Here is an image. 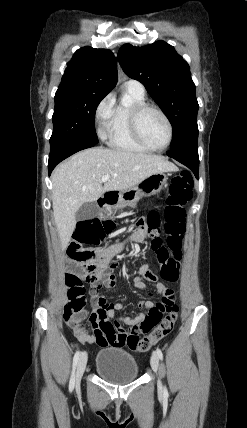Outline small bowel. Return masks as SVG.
Masks as SVG:
<instances>
[{"instance_id":"1","label":"small bowel","mask_w":247,"mask_h":428,"mask_svg":"<svg viewBox=\"0 0 247 428\" xmlns=\"http://www.w3.org/2000/svg\"><path fill=\"white\" fill-rule=\"evenodd\" d=\"M146 238V231L141 228L136 230L126 242L118 243L110 248L96 251L97 259L101 267L105 271V278L100 286H91L90 295L93 300V304H101L107 308L108 317L112 318L114 321L120 322L122 324L135 327L134 323L138 321V319L149 318V313L147 308L143 305L144 311L141 312L136 317L129 316H118L116 313L123 309L122 303H112L109 302L104 294L100 293L102 287H106L109 291L115 292L117 290L115 275L113 273L116 268V263L112 262V258L120 253L127 242L131 243H141ZM78 275L80 273L76 272ZM144 278H147L150 281L156 279V275L152 273L149 264H144L139 269V275L134 279V286L140 290H147L148 285L144 281ZM152 289L155 293L162 296V298H172L174 300V293L172 289L167 287L164 283L158 282L152 285ZM148 295H152L151 292H147ZM147 301V300H146ZM75 334V333H74ZM77 339L83 343H96L99 346H108L110 345L105 339H102L100 342H97L91 334H75Z\"/></svg>"}]
</instances>
